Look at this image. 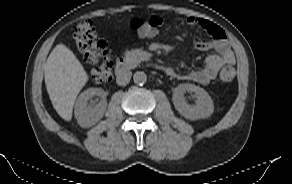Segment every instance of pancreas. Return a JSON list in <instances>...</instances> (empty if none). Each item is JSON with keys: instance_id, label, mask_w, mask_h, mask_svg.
Instances as JSON below:
<instances>
[{"instance_id": "obj_1", "label": "pancreas", "mask_w": 292, "mask_h": 184, "mask_svg": "<svg viewBox=\"0 0 292 184\" xmlns=\"http://www.w3.org/2000/svg\"><path fill=\"white\" fill-rule=\"evenodd\" d=\"M124 55L129 66H135L140 61L136 50L126 51Z\"/></svg>"}]
</instances>
